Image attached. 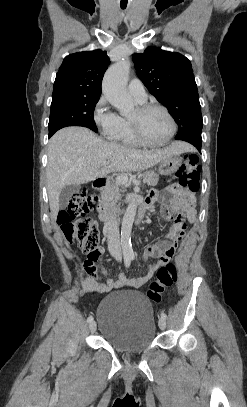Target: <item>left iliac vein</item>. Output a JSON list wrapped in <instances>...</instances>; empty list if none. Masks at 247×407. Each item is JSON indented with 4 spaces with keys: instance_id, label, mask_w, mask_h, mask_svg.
I'll list each match as a JSON object with an SVG mask.
<instances>
[{
    "instance_id": "left-iliac-vein-1",
    "label": "left iliac vein",
    "mask_w": 247,
    "mask_h": 407,
    "mask_svg": "<svg viewBox=\"0 0 247 407\" xmlns=\"http://www.w3.org/2000/svg\"><path fill=\"white\" fill-rule=\"evenodd\" d=\"M158 324H159L160 329L164 330L166 328V320L165 319L160 318Z\"/></svg>"
}]
</instances>
